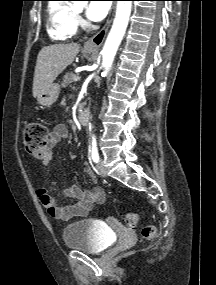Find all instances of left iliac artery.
<instances>
[{"instance_id": "left-iliac-artery-1", "label": "left iliac artery", "mask_w": 216, "mask_h": 285, "mask_svg": "<svg viewBox=\"0 0 216 285\" xmlns=\"http://www.w3.org/2000/svg\"><path fill=\"white\" fill-rule=\"evenodd\" d=\"M92 160L97 163L99 161V153L97 149L96 139L93 136L92 139V151H91Z\"/></svg>"}]
</instances>
